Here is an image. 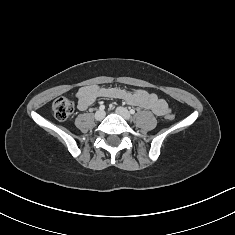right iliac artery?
<instances>
[{
  "label": "right iliac artery",
  "mask_w": 235,
  "mask_h": 235,
  "mask_svg": "<svg viewBox=\"0 0 235 235\" xmlns=\"http://www.w3.org/2000/svg\"><path fill=\"white\" fill-rule=\"evenodd\" d=\"M99 109L103 111L105 109V106L104 105H100Z\"/></svg>",
  "instance_id": "right-iliac-artery-1"
}]
</instances>
